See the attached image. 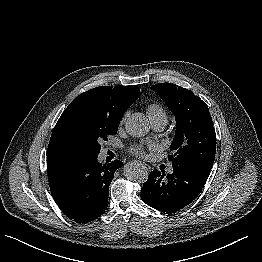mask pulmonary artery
<instances>
[{
  "instance_id": "e3ab8cb5",
  "label": "pulmonary artery",
  "mask_w": 262,
  "mask_h": 262,
  "mask_svg": "<svg viewBox=\"0 0 262 262\" xmlns=\"http://www.w3.org/2000/svg\"><path fill=\"white\" fill-rule=\"evenodd\" d=\"M166 121L164 120H153L151 121V125L153 127V129L157 132H160L164 129L165 125H166ZM173 173V168H169L168 169V174H172Z\"/></svg>"
}]
</instances>
